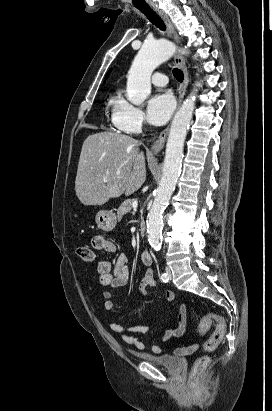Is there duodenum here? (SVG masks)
<instances>
[{"mask_svg":"<svg viewBox=\"0 0 272 411\" xmlns=\"http://www.w3.org/2000/svg\"><path fill=\"white\" fill-rule=\"evenodd\" d=\"M141 259H142V261H143L145 264H147V265H151V264H152L153 258H152V254H151V252L149 251V249L144 248V249L141 251Z\"/></svg>","mask_w":272,"mask_h":411,"instance_id":"410a0bca","label":"duodenum"}]
</instances>
